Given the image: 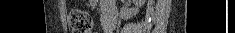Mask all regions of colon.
I'll use <instances>...</instances> for the list:
<instances>
[{
  "label": "colon",
  "mask_w": 235,
  "mask_h": 33,
  "mask_svg": "<svg viewBox=\"0 0 235 33\" xmlns=\"http://www.w3.org/2000/svg\"><path fill=\"white\" fill-rule=\"evenodd\" d=\"M69 23L73 33H91L94 26L92 16L82 10H73L69 15Z\"/></svg>",
  "instance_id": "obj_1"
}]
</instances>
